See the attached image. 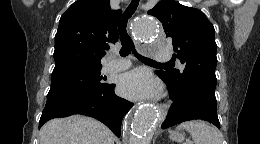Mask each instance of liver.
<instances>
[{"label": "liver", "instance_id": "liver-1", "mask_svg": "<svg viewBox=\"0 0 260 144\" xmlns=\"http://www.w3.org/2000/svg\"><path fill=\"white\" fill-rule=\"evenodd\" d=\"M40 144H114L113 133L101 122L86 116L48 121L40 130Z\"/></svg>", "mask_w": 260, "mask_h": 144}]
</instances>
